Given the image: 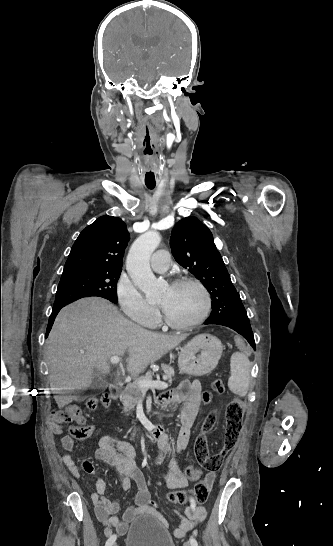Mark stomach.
Masks as SVG:
<instances>
[{"mask_svg":"<svg viewBox=\"0 0 333 546\" xmlns=\"http://www.w3.org/2000/svg\"><path fill=\"white\" fill-rule=\"evenodd\" d=\"M222 351V343L217 337L199 334L181 348L178 358L180 372L191 376L209 374L216 368Z\"/></svg>","mask_w":333,"mask_h":546,"instance_id":"obj_1","label":"stomach"}]
</instances>
